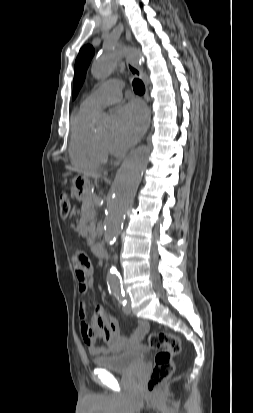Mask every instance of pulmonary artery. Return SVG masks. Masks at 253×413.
<instances>
[{
  "mask_svg": "<svg viewBox=\"0 0 253 413\" xmlns=\"http://www.w3.org/2000/svg\"><path fill=\"white\" fill-rule=\"evenodd\" d=\"M122 97L121 84L118 81H110L92 92L82 103V106L92 111L118 102Z\"/></svg>",
  "mask_w": 253,
  "mask_h": 413,
  "instance_id": "e3ab8cb5",
  "label": "pulmonary artery"
}]
</instances>
